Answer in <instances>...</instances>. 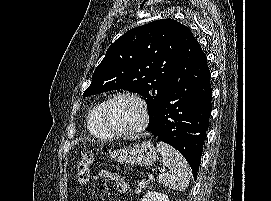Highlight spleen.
Segmentation results:
<instances>
[{"mask_svg":"<svg viewBox=\"0 0 271 201\" xmlns=\"http://www.w3.org/2000/svg\"><path fill=\"white\" fill-rule=\"evenodd\" d=\"M157 148L167 170L159 175V182L170 189L185 191L190 181V169L181 153L164 142H158Z\"/></svg>","mask_w":271,"mask_h":201,"instance_id":"1","label":"spleen"}]
</instances>
